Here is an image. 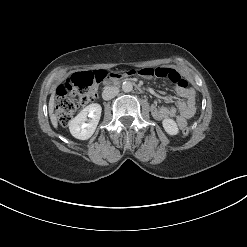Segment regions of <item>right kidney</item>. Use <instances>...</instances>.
Here are the masks:
<instances>
[{"instance_id":"right-kidney-1","label":"right kidney","mask_w":247,"mask_h":247,"mask_svg":"<svg viewBox=\"0 0 247 247\" xmlns=\"http://www.w3.org/2000/svg\"><path fill=\"white\" fill-rule=\"evenodd\" d=\"M102 107L92 103L86 106L75 118L69 122L72 136L80 140L89 139L96 130L101 117Z\"/></svg>"}]
</instances>
